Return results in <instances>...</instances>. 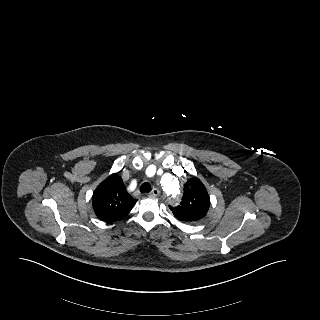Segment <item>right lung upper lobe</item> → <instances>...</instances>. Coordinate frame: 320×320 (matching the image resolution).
<instances>
[{"label":"right lung upper lobe","mask_w":320,"mask_h":320,"mask_svg":"<svg viewBox=\"0 0 320 320\" xmlns=\"http://www.w3.org/2000/svg\"><path fill=\"white\" fill-rule=\"evenodd\" d=\"M136 200L126 191L118 173L111 174L94 191L92 205L97 217L111 223L124 218L134 207Z\"/></svg>","instance_id":"obj_1"}]
</instances>
